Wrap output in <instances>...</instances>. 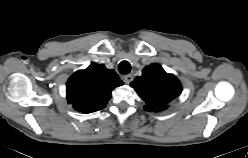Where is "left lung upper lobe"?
Masks as SVG:
<instances>
[{"label": "left lung upper lobe", "mask_w": 248, "mask_h": 158, "mask_svg": "<svg viewBox=\"0 0 248 158\" xmlns=\"http://www.w3.org/2000/svg\"><path fill=\"white\" fill-rule=\"evenodd\" d=\"M131 86L146 102L147 111L164 110L175 97L180 95L182 87L173 74H168L158 64H151L143 69V74L131 82Z\"/></svg>", "instance_id": "obj_1"}]
</instances>
